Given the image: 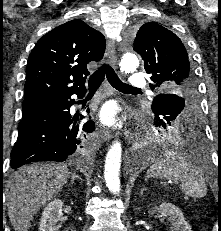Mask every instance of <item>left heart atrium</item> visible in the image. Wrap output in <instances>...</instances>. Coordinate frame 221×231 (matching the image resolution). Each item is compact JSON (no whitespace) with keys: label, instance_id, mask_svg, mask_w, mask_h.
<instances>
[{"label":"left heart atrium","instance_id":"obj_1","mask_svg":"<svg viewBox=\"0 0 221 231\" xmlns=\"http://www.w3.org/2000/svg\"><path fill=\"white\" fill-rule=\"evenodd\" d=\"M101 121L106 125H113L116 121L115 108L112 104L103 107L100 113Z\"/></svg>","mask_w":221,"mask_h":231}]
</instances>
